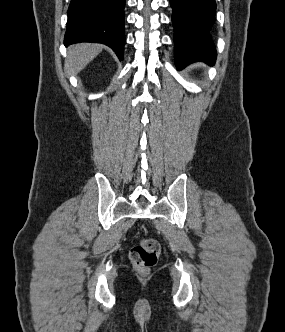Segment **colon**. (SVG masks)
<instances>
[{
    "instance_id": "colon-1",
    "label": "colon",
    "mask_w": 285,
    "mask_h": 332,
    "mask_svg": "<svg viewBox=\"0 0 285 332\" xmlns=\"http://www.w3.org/2000/svg\"><path fill=\"white\" fill-rule=\"evenodd\" d=\"M160 255V244L154 239H143L130 250V260L141 273L148 272L154 267Z\"/></svg>"
}]
</instances>
